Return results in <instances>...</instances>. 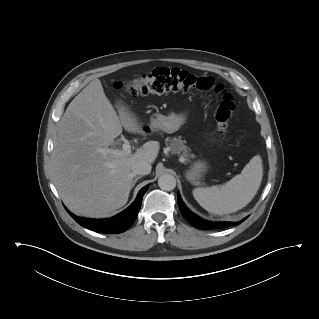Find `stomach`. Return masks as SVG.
I'll list each match as a JSON object with an SVG mask.
<instances>
[{
  "label": "stomach",
  "instance_id": "obj_1",
  "mask_svg": "<svg viewBox=\"0 0 319 319\" xmlns=\"http://www.w3.org/2000/svg\"><path fill=\"white\" fill-rule=\"evenodd\" d=\"M187 115L185 113L175 114L169 116L162 114H153L150 118L151 130H162L166 133H174L179 130L181 125L186 121ZM207 164L204 161L195 162L191 169L186 173V178L193 184H197L207 171Z\"/></svg>",
  "mask_w": 319,
  "mask_h": 319
}]
</instances>
